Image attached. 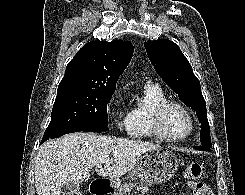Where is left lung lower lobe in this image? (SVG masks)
<instances>
[{
	"label": "left lung lower lobe",
	"mask_w": 245,
	"mask_h": 195,
	"mask_svg": "<svg viewBox=\"0 0 245 195\" xmlns=\"http://www.w3.org/2000/svg\"><path fill=\"white\" fill-rule=\"evenodd\" d=\"M211 146L209 145H199V146H196L194 147V149H198V150H209L210 151V148Z\"/></svg>",
	"instance_id": "0a47b994"
}]
</instances>
